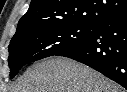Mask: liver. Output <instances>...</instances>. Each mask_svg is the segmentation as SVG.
<instances>
[{
	"label": "liver",
	"instance_id": "obj_1",
	"mask_svg": "<svg viewBox=\"0 0 127 92\" xmlns=\"http://www.w3.org/2000/svg\"><path fill=\"white\" fill-rule=\"evenodd\" d=\"M13 92H123L119 85L90 67L64 57L33 64Z\"/></svg>",
	"mask_w": 127,
	"mask_h": 92
}]
</instances>
